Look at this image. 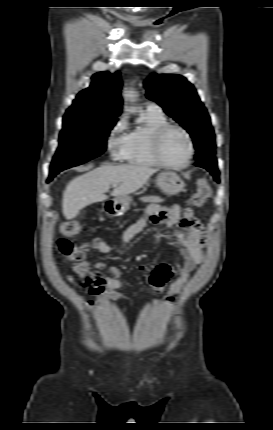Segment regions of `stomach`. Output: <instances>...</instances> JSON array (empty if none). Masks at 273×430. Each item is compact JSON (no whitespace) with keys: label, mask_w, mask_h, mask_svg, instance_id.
Wrapping results in <instances>:
<instances>
[{"label":"stomach","mask_w":273,"mask_h":430,"mask_svg":"<svg viewBox=\"0 0 273 430\" xmlns=\"http://www.w3.org/2000/svg\"><path fill=\"white\" fill-rule=\"evenodd\" d=\"M157 186L167 195H177L184 191L185 184L182 179L172 171L161 172L157 177ZM130 197L121 196L114 200V210L124 212L129 208Z\"/></svg>","instance_id":"1"}]
</instances>
